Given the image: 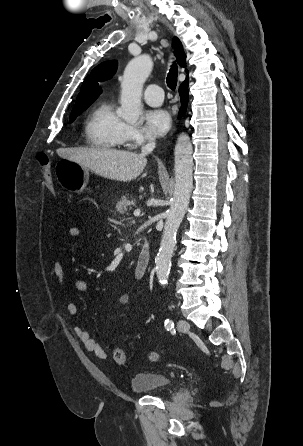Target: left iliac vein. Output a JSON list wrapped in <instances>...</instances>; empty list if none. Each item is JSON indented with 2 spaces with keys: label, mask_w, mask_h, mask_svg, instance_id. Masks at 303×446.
<instances>
[{
  "label": "left iliac vein",
  "mask_w": 303,
  "mask_h": 446,
  "mask_svg": "<svg viewBox=\"0 0 303 446\" xmlns=\"http://www.w3.org/2000/svg\"><path fill=\"white\" fill-rule=\"evenodd\" d=\"M177 328L180 332H187L190 329V325L186 320L180 319L177 323Z\"/></svg>",
  "instance_id": "obj_1"
}]
</instances>
